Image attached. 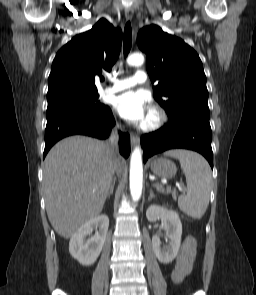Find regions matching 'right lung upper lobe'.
Returning a JSON list of instances; mask_svg holds the SVG:
<instances>
[{"label": "right lung upper lobe", "mask_w": 256, "mask_h": 295, "mask_svg": "<svg viewBox=\"0 0 256 295\" xmlns=\"http://www.w3.org/2000/svg\"><path fill=\"white\" fill-rule=\"evenodd\" d=\"M122 42V31L100 19L91 30L72 38L56 54L48 78L47 100L68 93H98L95 77L110 72Z\"/></svg>", "instance_id": "obj_1"}]
</instances>
